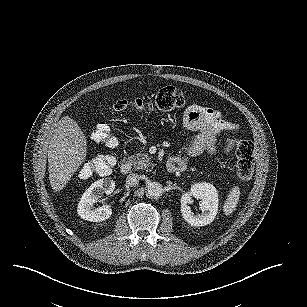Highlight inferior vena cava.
Listing matches in <instances>:
<instances>
[{
  "label": "inferior vena cava",
  "mask_w": 307,
  "mask_h": 307,
  "mask_svg": "<svg viewBox=\"0 0 307 307\" xmlns=\"http://www.w3.org/2000/svg\"><path fill=\"white\" fill-rule=\"evenodd\" d=\"M139 180H140V177L138 174L131 173L127 176L126 183L131 187H135L136 185H138Z\"/></svg>",
  "instance_id": "602c4592"
}]
</instances>
